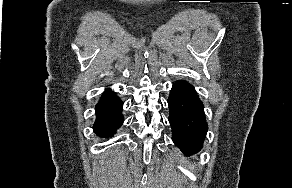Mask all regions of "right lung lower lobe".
Masks as SVG:
<instances>
[{
    "label": "right lung lower lobe",
    "instance_id": "right-lung-lower-lobe-1",
    "mask_svg": "<svg viewBox=\"0 0 292 188\" xmlns=\"http://www.w3.org/2000/svg\"><path fill=\"white\" fill-rule=\"evenodd\" d=\"M123 102L111 89L105 91L95 106L94 132L100 137H111L121 127L124 117Z\"/></svg>",
    "mask_w": 292,
    "mask_h": 188
}]
</instances>
